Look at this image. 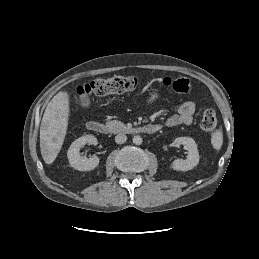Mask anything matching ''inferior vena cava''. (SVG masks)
I'll use <instances>...</instances> for the list:
<instances>
[{"mask_svg": "<svg viewBox=\"0 0 259 259\" xmlns=\"http://www.w3.org/2000/svg\"><path fill=\"white\" fill-rule=\"evenodd\" d=\"M126 140H127V136L122 133L116 135V137H115V142L117 144H123L124 142H126Z\"/></svg>", "mask_w": 259, "mask_h": 259, "instance_id": "602c4592", "label": "inferior vena cava"}]
</instances>
